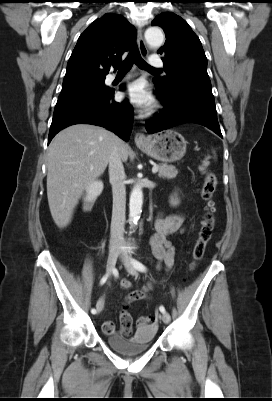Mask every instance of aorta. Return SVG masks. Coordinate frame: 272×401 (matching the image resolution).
I'll return each mask as SVG.
<instances>
[{
  "instance_id": "obj_1",
  "label": "aorta",
  "mask_w": 272,
  "mask_h": 401,
  "mask_svg": "<svg viewBox=\"0 0 272 401\" xmlns=\"http://www.w3.org/2000/svg\"><path fill=\"white\" fill-rule=\"evenodd\" d=\"M145 39L151 47H160L164 41V34L158 27H149L145 31ZM143 205V192L140 187H134L130 194L129 218L136 224L140 218Z\"/></svg>"
}]
</instances>
